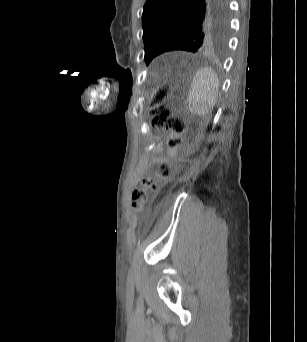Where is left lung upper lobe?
<instances>
[{"label":"left lung upper lobe","mask_w":307,"mask_h":342,"mask_svg":"<svg viewBox=\"0 0 307 342\" xmlns=\"http://www.w3.org/2000/svg\"><path fill=\"white\" fill-rule=\"evenodd\" d=\"M228 24L226 0H147L142 14L145 62L172 50L221 52Z\"/></svg>","instance_id":"obj_1"}]
</instances>
